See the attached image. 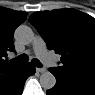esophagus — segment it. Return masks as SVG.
I'll use <instances>...</instances> for the list:
<instances>
[{
  "instance_id": "34e87169",
  "label": "esophagus",
  "mask_w": 95,
  "mask_h": 95,
  "mask_svg": "<svg viewBox=\"0 0 95 95\" xmlns=\"http://www.w3.org/2000/svg\"><path fill=\"white\" fill-rule=\"evenodd\" d=\"M37 72L44 73L46 71V68H36Z\"/></svg>"
}]
</instances>
